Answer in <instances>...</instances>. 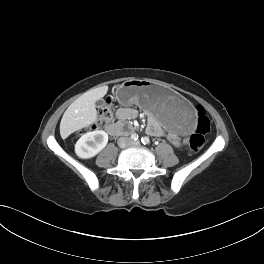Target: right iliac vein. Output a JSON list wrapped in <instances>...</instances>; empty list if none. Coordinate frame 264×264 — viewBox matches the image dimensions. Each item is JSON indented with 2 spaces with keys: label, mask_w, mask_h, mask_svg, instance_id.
Listing matches in <instances>:
<instances>
[{
  "label": "right iliac vein",
  "mask_w": 264,
  "mask_h": 264,
  "mask_svg": "<svg viewBox=\"0 0 264 264\" xmlns=\"http://www.w3.org/2000/svg\"><path fill=\"white\" fill-rule=\"evenodd\" d=\"M125 145H129V142L128 141H125Z\"/></svg>",
  "instance_id": "obj_1"
}]
</instances>
